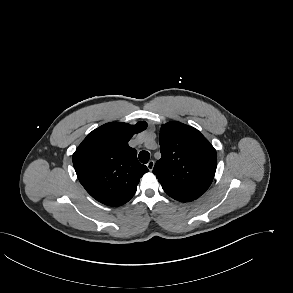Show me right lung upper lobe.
<instances>
[{"instance_id": "cb5924a9", "label": "right lung upper lobe", "mask_w": 293, "mask_h": 293, "mask_svg": "<svg viewBox=\"0 0 293 293\" xmlns=\"http://www.w3.org/2000/svg\"><path fill=\"white\" fill-rule=\"evenodd\" d=\"M146 127L143 121L136 125L107 123L88 134L76 149L73 165L77 177L100 203L121 206L134 196L148 169L139 163L137 151L128 141Z\"/></svg>"}]
</instances>
